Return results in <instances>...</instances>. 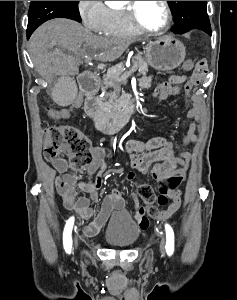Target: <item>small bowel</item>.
Instances as JSON below:
<instances>
[{"instance_id": "c3829d8e", "label": "small bowel", "mask_w": 237, "mask_h": 300, "mask_svg": "<svg viewBox=\"0 0 237 300\" xmlns=\"http://www.w3.org/2000/svg\"><path fill=\"white\" fill-rule=\"evenodd\" d=\"M206 71V63L202 60L197 63L193 75L189 78L174 76L170 81L157 85V87L163 84L171 85L173 88L169 95H173L178 91L179 85L184 82L185 104L191 107L188 112L191 123L181 149H177L162 136L154 137L146 142L136 139L128 140L124 145V152L135 169L142 173H149L155 180H159L162 176L170 173H186L191 160V154L187 147L190 143L196 141V130L200 128V110L193 106L190 92L193 87L202 81ZM152 82V77H145L141 80V86L148 88L152 85ZM81 100V96H78L69 108L53 111L51 116L55 119L68 117L71 109L78 107ZM51 165L57 173L54 184L57 193L62 198L64 207L74 211L81 219L88 221L84 228L87 236H95L104 226L111 212L124 207L122 193L116 188L102 199L98 211H95L91 206V201H97L99 198L98 192L103 184L105 170L108 165V153L104 148H94L93 159L84 168L85 180H81L77 173L68 172V162L65 158H56L51 161ZM77 190H81L85 195L79 196ZM179 206L180 200L173 201L166 210L160 212L158 217L161 219L169 218L178 210ZM134 207L139 227L147 229L150 222L146 215V208L140 205L136 196H134Z\"/></svg>"}]
</instances>
